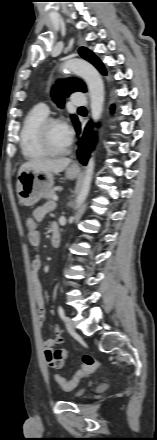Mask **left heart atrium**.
<instances>
[{"mask_svg":"<svg viewBox=\"0 0 157 440\" xmlns=\"http://www.w3.org/2000/svg\"><path fill=\"white\" fill-rule=\"evenodd\" d=\"M61 129L69 143L72 141L73 138V130L71 126L67 122L60 123Z\"/></svg>","mask_w":157,"mask_h":440,"instance_id":"obj_1","label":"left heart atrium"}]
</instances>
